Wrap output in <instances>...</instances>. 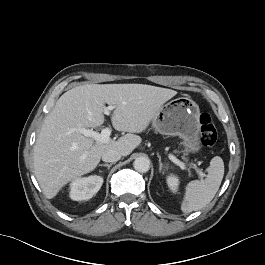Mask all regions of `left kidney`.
Listing matches in <instances>:
<instances>
[{
	"label": "left kidney",
	"mask_w": 265,
	"mask_h": 265,
	"mask_svg": "<svg viewBox=\"0 0 265 265\" xmlns=\"http://www.w3.org/2000/svg\"><path fill=\"white\" fill-rule=\"evenodd\" d=\"M167 184L171 191L176 192L178 185H179V179L175 175H169L166 178Z\"/></svg>",
	"instance_id": "1"
}]
</instances>
